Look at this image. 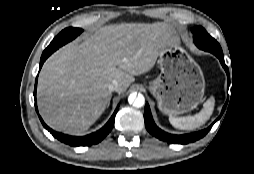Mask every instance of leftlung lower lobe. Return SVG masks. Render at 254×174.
Listing matches in <instances>:
<instances>
[{
	"instance_id": "obj_1",
	"label": "left lung lower lobe",
	"mask_w": 254,
	"mask_h": 174,
	"mask_svg": "<svg viewBox=\"0 0 254 174\" xmlns=\"http://www.w3.org/2000/svg\"><path fill=\"white\" fill-rule=\"evenodd\" d=\"M214 55L219 58L223 68L225 69L227 76H228V83H229V70H228V67L225 65L223 53L222 54H214ZM225 106L222 109V113L225 109ZM222 113H221V115H222ZM221 115L217 118V120L221 117ZM144 120H145L146 129L148 130V132L150 134H152L153 136L157 137L158 139H160L162 141H166V142L172 143V144H187V143L199 140L200 138L204 137L209 132V130L211 129L213 124L216 122V120H215L211 126H209L208 128H206L204 130H201L199 132H195V133H191V134H184V135L169 134V133L164 132L163 130H161L160 128H158L156 126V124L153 121L151 111H150L148 104H146V106H145Z\"/></svg>"
}]
</instances>
